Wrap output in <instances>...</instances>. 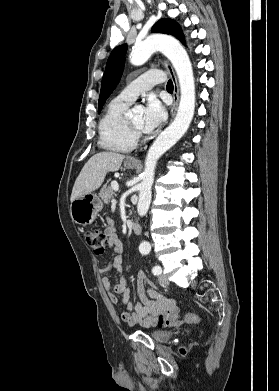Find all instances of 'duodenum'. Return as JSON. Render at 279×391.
<instances>
[{
    "label": "duodenum",
    "instance_id": "410a0bca",
    "mask_svg": "<svg viewBox=\"0 0 279 391\" xmlns=\"http://www.w3.org/2000/svg\"><path fill=\"white\" fill-rule=\"evenodd\" d=\"M141 225L138 223V222H134L132 224V233L135 235V236H138L141 234Z\"/></svg>",
    "mask_w": 279,
    "mask_h": 391
}]
</instances>
